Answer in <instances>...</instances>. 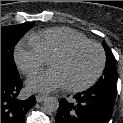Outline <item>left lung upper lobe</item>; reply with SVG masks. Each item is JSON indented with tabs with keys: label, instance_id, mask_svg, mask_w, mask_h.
Here are the masks:
<instances>
[{
	"label": "left lung upper lobe",
	"instance_id": "5c2ea615",
	"mask_svg": "<svg viewBox=\"0 0 123 123\" xmlns=\"http://www.w3.org/2000/svg\"><path fill=\"white\" fill-rule=\"evenodd\" d=\"M103 47L106 52V65L103 72V76L96 82L92 88H107L111 90H116V65L115 57L109 48V46L103 42Z\"/></svg>",
	"mask_w": 123,
	"mask_h": 123
}]
</instances>
